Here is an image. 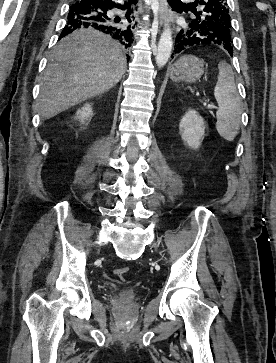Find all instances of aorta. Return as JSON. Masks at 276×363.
<instances>
[{
  "label": "aorta",
  "mask_w": 276,
  "mask_h": 363,
  "mask_svg": "<svg viewBox=\"0 0 276 363\" xmlns=\"http://www.w3.org/2000/svg\"><path fill=\"white\" fill-rule=\"evenodd\" d=\"M173 48L172 32L169 28H166L161 34L158 50L156 55V64L159 68L163 67L171 56Z\"/></svg>",
  "instance_id": "obj_1"
}]
</instances>
